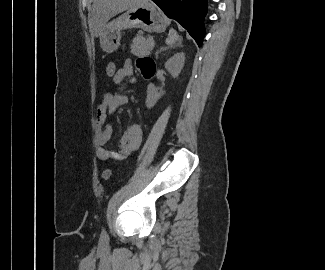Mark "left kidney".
Here are the masks:
<instances>
[{
	"instance_id": "left-kidney-1",
	"label": "left kidney",
	"mask_w": 325,
	"mask_h": 270,
	"mask_svg": "<svg viewBox=\"0 0 325 270\" xmlns=\"http://www.w3.org/2000/svg\"><path fill=\"white\" fill-rule=\"evenodd\" d=\"M185 62V54L184 53H177L174 56H172L170 59L167 60L165 63L166 70L172 75V77L176 78ZM165 92L160 91L155 88L153 84H149L147 87V97H146V106L147 108H152L158 99L163 96Z\"/></svg>"
}]
</instances>
